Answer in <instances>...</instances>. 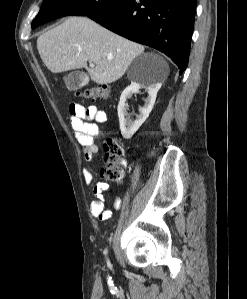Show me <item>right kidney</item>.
I'll use <instances>...</instances> for the list:
<instances>
[{
  "label": "right kidney",
  "mask_w": 247,
  "mask_h": 299,
  "mask_svg": "<svg viewBox=\"0 0 247 299\" xmlns=\"http://www.w3.org/2000/svg\"><path fill=\"white\" fill-rule=\"evenodd\" d=\"M160 87L161 84H153L146 87L139 83L131 82V84L123 91L118 104V117L123 138L130 139L148 118L155 104L157 92ZM141 88H145L148 91V97L145 100L144 107H140V114L136 117V120L131 121L129 118H125V115L127 113L126 100L133 94L137 93Z\"/></svg>",
  "instance_id": "obj_1"
}]
</instances>
